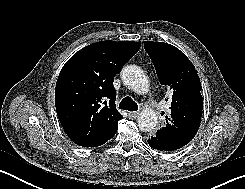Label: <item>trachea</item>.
<instances>
[{
    "mask_svg": "<svg viewBox=\"0 0 245 189\" xmlns=\"http://www.w3.org/2000/svg\"><path fill=\"white\" fill-rule=\"evenodd\" d=\"M119 109L128 111H137L138 105L131 97H125L119 104Z\"/></svg>",
    "mask_w": 245,
    "mask_h": 189,
    "instance_id": "1",
    "label": "trachea"
}]
</instances>
